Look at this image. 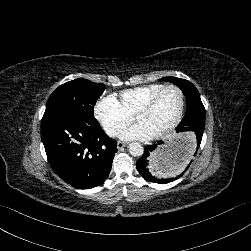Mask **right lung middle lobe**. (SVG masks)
<instances>
[{
  "instance_id": "obj_1",
  "label": "right lung middle lobe",
  "mask_w": 251,
  "mask_h": 251,
  "mask_svg": "<svg viewBox=\"0 0 251 251\" xmlns=\"http://www.w3.org/2000/svg\"><path fill=\"white\" fill-rule=\"evenodd\" d=\"M105 90V85L86 79H75L59 86L49 97L46 111H63L84 117H94L96 100Z\"/></svg>"
}]
</instances>
